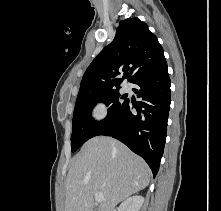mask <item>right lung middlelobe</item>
<instances>
[{
    "label": "right lung middle lobe",
    "mask_w": 221,
    "mask_h": 211,
    "mask_svg": "<svg viewBox=\"0 0 221 211\" xmlns=\"http://www.w3.org/2000/svg\"><path fill=\"white\" fill-rule=\"evenodd\" d=\"M121 99L124 97L119 94L118 90L77 98L72 120V152H75L88 139L97 136L101 129L114 119L127 102L126 99L124 101ZM98 102H103L109 106L107 117L100 122L94 121L91 117L92 108Z\"/></svg>",
    "instance_id": "obj_1"
}]
</instances>
